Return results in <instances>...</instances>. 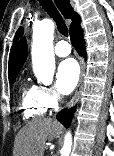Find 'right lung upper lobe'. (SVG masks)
Instances as JSON below:
<instances>
[{"label":"right lung upper lobe","mask_w":114,"mask_h":156,"mask_svg":"<svg viewBox=\"0 0 114 156\" xmlns=\"http://www.w3.org/2000/svg\"><path fill=\"white\" fill-rule=\"evenodd\" d=\"M57 7L65 18H71L72 23L70 31L77 25H79L81 18L75 13L70 5L69 0H55ZM27 43L25 39H22L16 48L10 52L9 64H8V77L16 76L27 59Z\"/></svg>","instance_id":"cb5924a9"}]
</instances>
